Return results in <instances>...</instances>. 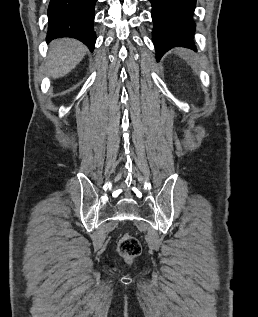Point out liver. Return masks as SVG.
Instances as JSON below:
<instances>
[{
  "label": "liver",
  "mask_w": 258,
  "mask_h": 317,
  "mask_svg": "<svg viewBox=\"0 0 258 317\" xmlns=\"http://www.w3.org/2000/svg\"><path fill=\"white\" fill-rule=\"evenodd\" d=\"M87 48L75 38H57L50 44L47 72L52 78L65 76L82 60Z\"/></svg>",
  "instance_id": "obj_1"
}]
</instances>
